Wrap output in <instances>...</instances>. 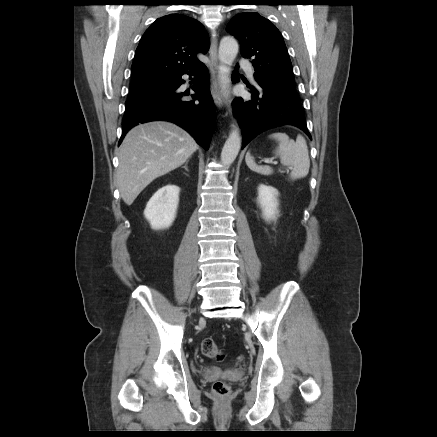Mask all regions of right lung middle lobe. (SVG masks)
Listing matches in <instances>:
<instances>
[{
    "mask_svg": "<svg viewBox=\"0 0 437 437\" xmlns=\"http://www.w3.org/2000/svg\"><path fill=\"white\" fill-rule=\"evenodd\" d=\"M169 81L170 79H149L132 81L130 87V97L148 93L156 89L165 87L166 85H168Z\"/></svg>",
    "mask_w": 437,
    "mask_h": 437,
    "instance_id": "1",
    "label": "right lung middle lobe"
}]
</instances>
